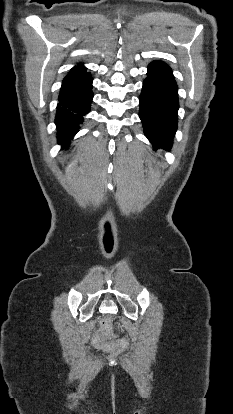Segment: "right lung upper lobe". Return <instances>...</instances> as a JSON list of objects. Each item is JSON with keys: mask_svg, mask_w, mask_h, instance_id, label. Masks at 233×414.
<instances>
[{"mask_svg": "<svg viewBox=\"0 0 233 414\" xmlns=\"http://www.w3.org/2000/svg\"><path fill=\"white\" fill-rule=\"evenodd\" d=\"M82 68H84V67L82 65H79V66H77V67H75L73 69H82Z\"/></svg>", "mask_w": 233, "mask_h": 414, "instance_id": "right-lung-upper-lobe-1", "label": "right lung upper lobe"}]
</instances>
